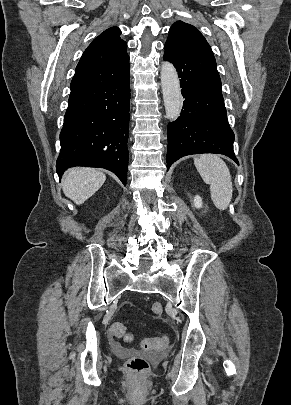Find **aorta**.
<instances>
[{
	"label": "aorta",
	"mask_w": 291,
	"mask_h": 405,
	"mask_svg": "<svg viewBox=\"0 0 291 405\" xmlns=\"http://www.w3.org/2000/svg\"><path fill=\"white\" fill-rule=\"evenodd\" d=\"M160 73L166 116L170 120H176L183 105L177 71L172 63L166 61L162 64Z\"/></svg>",
	"instance_id": "aorta-1"
}]
</instances>
